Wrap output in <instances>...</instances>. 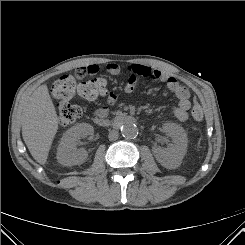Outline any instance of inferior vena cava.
I'll return each mask as SVG.
<instances>
[{
	"mask_svg": "<svg viewBox=\"0 0 245 245\" xmlns=\"http://www.w3.org/2000/svg\"><path fill=\"white\" fill-rule=\"evenodd\" d=\"M118 136H119L118 131L112 130V131L109 132V136L108 137H109V140L114 141V140L118 139Z\"/></svg>",
	"mask_w": 245,
	"mask_h": 245,
	"instance_id": "1",
	"label": "inferior vena cava"
}]
</instances>
